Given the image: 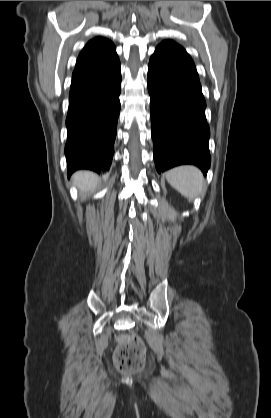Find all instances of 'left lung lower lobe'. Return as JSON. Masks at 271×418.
<instances>
[{"mask_svg": "<svg viewBox=\"0 0 271 418\" xmlns=\"http://www.w3.org/2000/svg\"><path fill=\"white\" fill-rule=\"evenodd\" d=\"M147 83L157 171L194 164L205 175L210 130L193 60L177 43L163 41L150 58Z\"/></svg>", "mask_w": 271, "mask_h": 418, "instance_id": "1", "label": "left lung lower lobe"}]
</instances>
